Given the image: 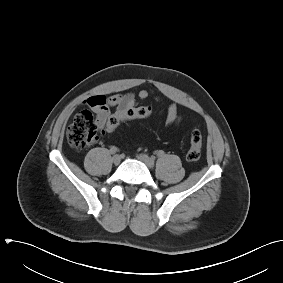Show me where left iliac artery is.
<instances>
[{
	"mask_svg": "<svg viewBox=\"0 0 283 283\" xmlns=\"http://www.w3.org/2000/svg\"><path fill=\"white\" fill-rule=\"evenodd\" d=\"M157 155H158L159 157H162V156H164V151H162V150H159V151H158V153H157Z\"/></svg>",
	"mask_w": 283,
	"mask_h": 283,
	"instance_id": "obj_1",
	"label": "left iliac artery"
}]
</instances>
